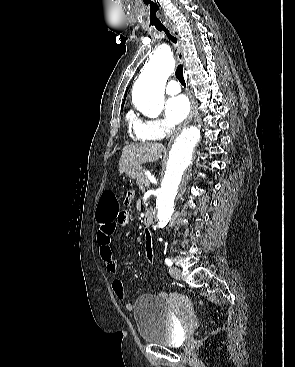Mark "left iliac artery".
<instances>
[{
  "instance_id": "left-iliac-artery-1",
  "label": "left iliac artery",
  "mask_w": 295,
  "mask_h": 367,
  "mask_svg": "<svg viewBox=\"0 0 295 367\" xmlns=\"http://www.w3.org/2000/svg\"><path fill=\"white\" fill-rule=\"evenodd\" d=\"M165 263L168 265V266H172V260L171 259H169V258H166L165 259Z\"/></svg>"
}]
</instances>
